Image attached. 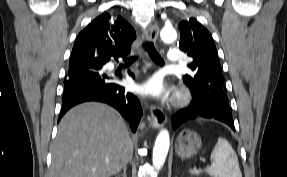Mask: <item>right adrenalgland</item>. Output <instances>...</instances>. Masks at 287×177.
Returning a JSON list of instances; mask_svg holds the SVG:
<instances>
[{
    "instance_id": "1",
    "label": "right adrenal gland",
    "mask_w": 287,
    "mask_h": 177,
    "mask_svg": "<svg viewBox=\"0 0 287 177\" xmlns=\"http://www.w3.org/2000/svg\"><path fill=\"white\" fill-rule=\"evenodd\" d=\"M126 170H127V167L125 166L123 168V174H122L123 177H126ZM116 177H120V175H117Z\"/></svg>"
}]
</instances>
